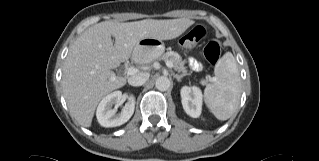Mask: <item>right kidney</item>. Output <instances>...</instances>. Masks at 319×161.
Instances as JSON below:
<instances>
[{"mask_svg":"<svg viewBox=\"0 0 319 161\" xmlns=\"http://www.w3.org/2000/svg\"><path fill=\"white\" fill-rule=\"evenodd\" d=\"M122 92L114 91L104 97L99 103L96 111L98 122L103 127H116L126 123L134 113L135 98L131 95L128 102L123 107L122 111L116 114V109L112 106L118 105L121 102Z\"/></svg>","mask_w":319,"mask_h":161,"instance_id":"ca27d5eb","label":"right kidney"}]
</instances>
